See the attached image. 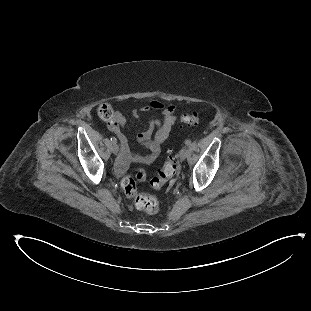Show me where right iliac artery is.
Listing matches in <instances>:
<instances>
[{
  "mask_svg": "<svg viewBox=\"0 0 311 311\" xmlns=\"http://www.w3.org/2000/svg\"><path fill=\"white\" fill-rule=\"evenodd\" d=\"M111 141H112V143H116V138L115 137H111Z\"/></svg>",
  "mask_w": 311,
  "mask_h": 311,
  "instance_id": "82829eb1",
  "label": "right iliac artery"
}]
</instances>
